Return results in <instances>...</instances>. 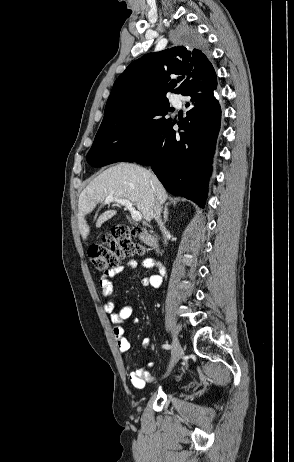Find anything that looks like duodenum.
Segmentation results:
<instances>
[{"label": "duodenum", "instance_id": "410a0bca", "mask_svg": "<svg viewBox=\"0 0 294 462\" xmlns=\"http://www.w3.org/2000/svg\"><path fill=\"white\" fill-rule=\"evenodd\" d=\"M139 238L145 242L147 245L153 247V248H157L158 245H157V240L155 239V237L153 236L152 232H143V233H140L139 234ZM157 265H158V262H157Z\"/></svg>", "mask_w": 294, "mask_h": 462}]
</instances>
